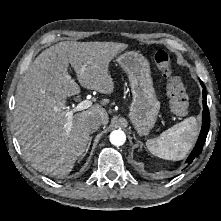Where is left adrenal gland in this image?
Instances as JSON below:
<instances>
[{"mask_svg":"<svg viewBox=\"0 0 221 221\" xmlns=\"http://www.w3.org/2000/svg\"><path fill=\"white\" fill-rule=\"evenodd\" d=\"M134 139H136V138L134 137ZM137 142L140 143V147H141V148H142V146H144V144H143L141 141H138V140H137Z\"/></svg>","mask_w":221,"mask_h":221,"instance_id":"obj_1","label":"left adrenal gland"}]
</instances>
